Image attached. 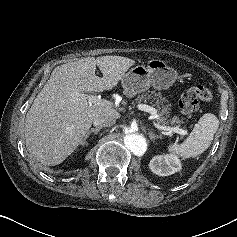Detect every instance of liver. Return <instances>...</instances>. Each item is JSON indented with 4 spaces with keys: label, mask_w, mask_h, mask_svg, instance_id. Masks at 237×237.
<instances>
[{
    "label": "liver",
    "mask_w": 237,
    "mask_h": 237,
    "mask_svg": "<svg viewBox=\"0 0 237 237\" xmlns=\"http://www.w3.org/2000/svg\"><path fill=\"white\" fill-rule=\"evenodd\" d=\"M135 60L121 56L87 57L57 66L25 119L29 153L48 166L63 162L82 142L99 116L119 117L112 107L80 96L115 88ZM96 66L103 77L95 74Z\"/></svg>",
    "instance_id": "liver-1"
}]
</instances>
